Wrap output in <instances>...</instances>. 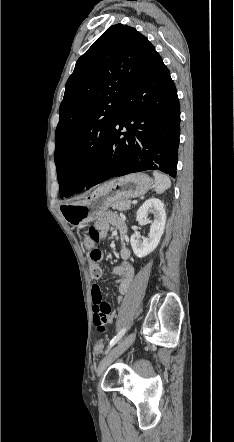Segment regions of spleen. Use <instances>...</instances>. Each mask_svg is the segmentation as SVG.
<instances>
[{"label":"spleen","mask_w":234,"mask_h":442,"mask_svg":"<svg viewBox=\"0 0 234 442\" xmlns=\"http://www.w3.org/2000/svg\"><path fill=\"white\" fill-rule=\"evenodd\" d=\"M153 176H154V180H155L154 187H155L156 193L161 194L165 190L170 188L171 180L169 179V177L167 175L162 174L158 171H154Z\"/></svg>","instance_id":"3e777b00"}]
</instances>
